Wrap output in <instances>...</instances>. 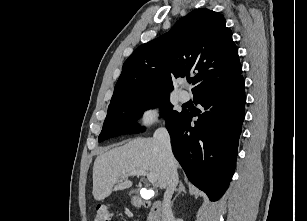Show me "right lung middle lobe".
I'll return each mask as SVG.
<instances>
[{
  "instance_id": "obj_1",
  "label": "right lung middle lobe",
  "mask_w": 307,
  "mask_h": 221,
  "mask_svg": "<svg viewBox=\"0 0 307 221\" xmlns=\"http://www.w3.org/2000/svg\"><path fill=\"white\" fill-rule=\"evenodd\" d=\"M168 93L135 94L111 103L108 107L107 117L98 142L119 136L121 134H133L144 131L136 121L142 116L144 110L160 106L166 114V124L181 115V112L173 111Z\"/></svg>"
}]
</instances>
